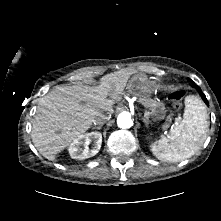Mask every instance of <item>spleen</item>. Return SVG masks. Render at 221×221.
I'll return each instance as SVG.
<instances>
[{
  "label": "spleen",
  "instance_id": "1",
  "mask_svg": "<svg viewBox=\"0 0 221 221\" xmlns=\"http://www.w3.org/2000/svg\"><path fill=\"white\" fill-rule=\"evenodd\" d=\"M204 103L194 95L185 98L183 119L177 120L167 136L150 145L153 155L165 162L190 158L203 145L208 129Z\"/></svg>",
  "mask_w": 221,
  "mask_h": 221
}]
</instances>
